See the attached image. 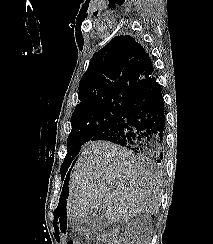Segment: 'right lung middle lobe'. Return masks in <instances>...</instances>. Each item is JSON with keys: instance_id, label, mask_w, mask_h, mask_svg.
<instances>
[{"instance_id": "obj_1", "label": "right lung middle lobe", "mask_w": 213, "mask_h": 244, "mask_svg": "<svg viewBox=\"0 0 213 244\" xmlns=\"http://www.w3.org/2000/svg\"><path fill=\"white\" fill-rule=\"evenodd\" d=\"M131 98L128 95H108L75 108L71 118L72 131L67 141L68 154L60 170L62 179L83 144L111 129Z\"/></svg>"}]
</instances>
